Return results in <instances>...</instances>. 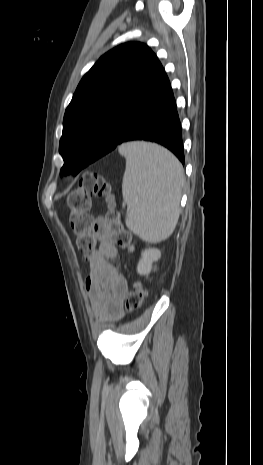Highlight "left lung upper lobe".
I'll list each match as a JSON object with an SVG mask.
<instances>
[{"label": "left lung upper lobe", "instance_id": "5c2ea615", "mask_svg": "<svg viewBox=\"0 0 263 465\" xmlns=\"http://www.w3.org/2000/svg\"><path fill=\"white\" fill-rule=\"evenodd\" d=\"M158 61L145 44L130 42L104 54L80 81L63 119L59 153L90 159L111 130L119 108L136 95Z\"/></svg>", "mask_w": 263, "mask_h": 465}]
</instances>
